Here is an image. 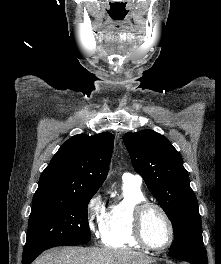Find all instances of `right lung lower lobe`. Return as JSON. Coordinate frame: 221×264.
<instances>
[{
	"instance_id": "right-lung-lower-lobe-1",
	"label": "right lung lower lobe",
	"mask_w": 221,
	"mask_h": 264,
	"mask_svg": "<svg viewBox=\"0 0 221 264\" xmlns=\"http://www.w3.org/2000/svg\"><path fill=\"white\" fill-rule=\"evenodd\" d=\"M42 252L43 251L37 252L35 254L29 255V256H26V257H23L22 258V264H31V262Z\"/></svg>"
}]
</instances>
